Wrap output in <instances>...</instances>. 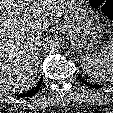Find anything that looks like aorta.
I'll use <instances>...</instances> for the list:
<instances>
[{
  "label": "aorta",
  "mask_w": 113,
  "mask_h": 113,
  "mask_svg": "<svg viewBox=\"0 0 113 113\" xmlns=\"http://www.w3.org/2000/svg\"><path fill=\"white\" fill-rule=\"evenodd\" d=\"M43 47L49 53H56L61 47V40L56 36L46 37Z\"/></svg>",
  "instance_id": "obj_1"
}]
</instances>
